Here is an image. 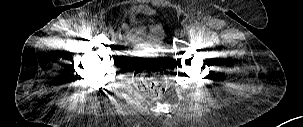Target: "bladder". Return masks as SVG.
<instances>
[{
  "label": "bladder",
  "mask_w": 303,
  "mask_h": 127,
  "mask_svg": "<svg viewBox=\"0 0 303 127\" xmlns=\"http://www.w3.org/2000/svg\"><path fill=\"white\" fill-rule=\"evenodd\" d=\"M141 15H147L149 18L142 20ZM122 31L126 36L136 39L144 37L153 42L162 41L165 35L161 20L154 17V13L143 6H134L130 9Z\"/></svg>",
  "instance_id": "31cf9c89"
}]
</instances>
